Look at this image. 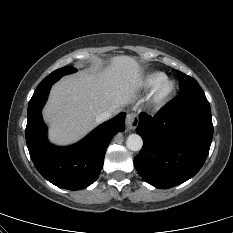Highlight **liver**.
<instances>
[{
    "label": "liver",
    "mask_w": 233,
    "mask_h": 233,
    "mask_svg": "<svg viewBox=\"0 0 233 233\" xmlns=\"http://www.w3.org/2000/svg\"><path fill=\"white\" fill-rule=\"evenodd\" d=\"M141 83L138 62L126 55L113 57L102 71L95 68L62 78L53 85L43 111L50 141L67 145L79 140L97 125L98 115L118 113L129 104Z\"/></svg>",
    "instance_id": "6515ba94"
}]
</instances>
